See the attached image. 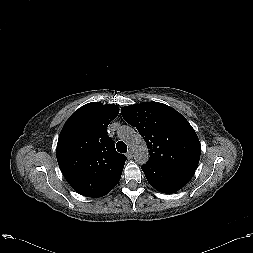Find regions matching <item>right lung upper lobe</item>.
<instances>
[{"label": "right lung upper lobe", "mask_w": 253, "mask_h": 253, "mask_svg": "<svg viewBox=\"0 0 253 253\" xmlns=\"http://www.w3.org/2000/svg\"><path fill=\"white\" fill-rule=\"evenodd\" d=\"M118 113L114 104L88 103L70 116L60 132L56 149L59 167L83 196H104L120 180L126 156L116 152L107 135V126Z\"/></svg>", "instance_id": "right-lung-upper-lobe-1"}]
</instances>
